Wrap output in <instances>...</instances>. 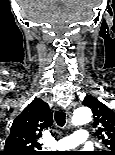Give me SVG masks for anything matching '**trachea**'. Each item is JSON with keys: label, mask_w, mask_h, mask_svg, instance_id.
<instances>
[{"label": "trachea", "mask_w": 115, "mask_h": 155, "mask_svg": "<svg viewBox=\"0 0 115 155\" xmlns=\"http://www.w3.org/2000/svg\"><path fill=\"white\" fill-rule=\"evenodd\" d=\"M55 121L58 126L63 127L66 122V113L62 110H58L55 112Z\"/></svg>", "instance_id": "1"}]
</instances>
